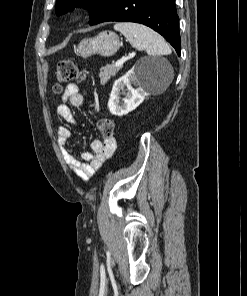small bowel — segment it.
<instances>
[{"label":"small bowel","mask_w":247,"mask_h":296,"mask_svg":"<svg viewBox=\"0 0 247 296\" xmlns=\"http://www.w3.org/2000/svg\"><path fill=\"white\" fill-rule=\"evenodd\" d=\"M62 100L63 102L56 107V115L72 125H77L76 117L71 108L81 107L85 101V94L79 90L76 84L70 83L64 89ZM70 138L71 131L69 128L59 127L57 140L68 168L83 182H88L101 168L102 164L113 155L116 141L114 138L105 142L93 140L90 143V151L84 152L82 159L79 160L67 148Z\"/></svg>","instance_id":"obj_1"}]
</instances>
